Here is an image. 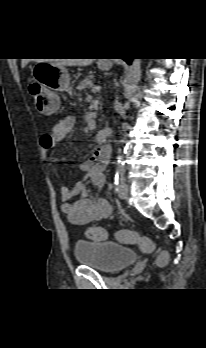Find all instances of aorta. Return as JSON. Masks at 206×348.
<instances>
[{
	"label": "aorta",
	"instance_id": "obj_1",
	"mask_svg": "<svg viewBox=\"0 0 206 348\" xmlns=\"http://www.w3.org/2000/svg\"><path fill=\"white\" fill-rule=\"evenodd\" d=\"M141 78V59H134L124 80V97L130 100Z\"/></svg>",
	"mask_w": 206,
	"mask_h": 348
}]
</instances>
